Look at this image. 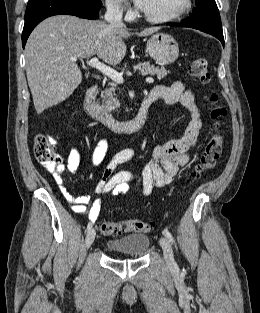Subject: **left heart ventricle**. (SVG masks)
Segmentation results:
<instances>
[{
    "mask_svg": "<svg viewBox=\"0 0 260 313\" xmlns=\"http://www.w3.org/2000/svg\"><path fill=\"white\" fill-rule=\"evenodd\" d=\"M184 0H143L141 9L151 16L163 17L178 11Z\"/></svg>",
    "mask_w": 260,
    "mask_h": 313,
    "instance_id": "1",
    "label": "left heart ventricle"
}]
</instances>
